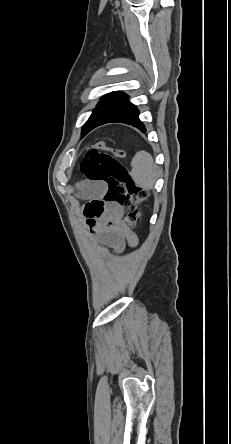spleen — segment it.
<instances>
[{
  "instance_id": "obj_1",
  "label": "spleen",
  "mask_w": 231,
  "mask_h": 444,
  "mask_svg": "<svg viewBox=\"0 0 231 444\" xmlns=\"http://www.w3.org/2000/svg\"><path fill=\"white\" fill-rule=\"evenodd\" d=\"M131 177L134 182L146 190L154 188L157 180V167L152 156L146 151L137 152L131 162Z\"/></svg>"
}]
</instances>
